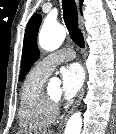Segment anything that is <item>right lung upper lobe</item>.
Instances as JSON below:
<instances>
[{
	"mask_svg": "<svg viewBox=\"0 0 116 134\" xmlns=\"http://www.w3.org/2000/svg\"><path fill=\"white\" fill-rule=\"evenodd\" d=\"M83 0H80V5H82Z\"/></svg>",
	"mask_w": 116,
	"mask_h": 134,
	"instance_id": "cb5924a9",
	"label": "right lung upper lobe"
}]
</instances>
